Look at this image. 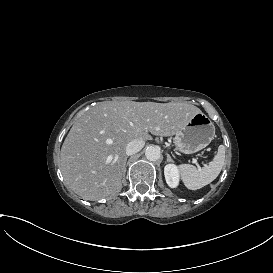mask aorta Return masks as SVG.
Segmentation results:
<instances>
[{
    "instance_id": "1",
    "label": "aorta",
    "mask_w": 273,
    "mask_h": 273,
    "mask_svg": "<svg viewBox=\"0 0 273 273\" xmlns=\"http://www.w3.org/2000/svg\"><path fill=\"white\" fill-rule=\"evenodd\" d=\"M145 156L149 161H157L160 158V149L157 146H148Z\"/></svg>"
}]
</instances>
